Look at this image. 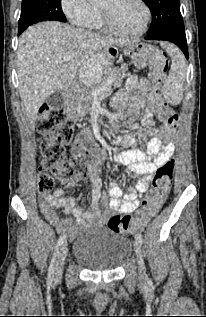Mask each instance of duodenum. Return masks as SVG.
Listing matches in <instances>:
<instances>
[{
    "mask_svg": "<svg viewBox=\"0 0 206 317\" xmlns=\"http://www.w3.org/2000/svg\"><path fill=\"white\" fill-rule=\"evenodd\" d=\"M64 105V109L65 111H68L69 115H76L77 110L75 100H65Z\"/></svg>",
    "mask_w": 206,
    "mask_h": 317,
    "instance_id": "obj_1",
    "label": "duodenum"
}]
</instances>
